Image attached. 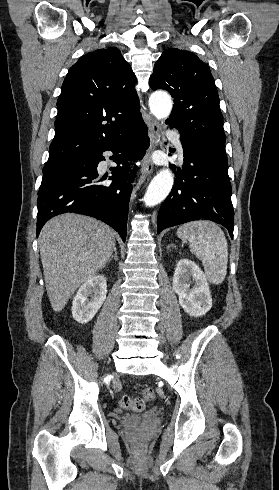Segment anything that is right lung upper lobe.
<instances>
[{"label": "right lung upper lobe", "mask_w": 279, "mask_h": 490, "mask_svg": "<svg viewBox=\"0 0 279 490\" xmlns=\"http://www.w3.org/2000/svg\"><path fill=\"white\" fill-rule=\"evenodd\" d=\"M136 78L117 48L87 53L68 71L57 100L47 164L82 160L144 125Z\"/></svg>", "instance_id": "obj_1"}]
</instances>
